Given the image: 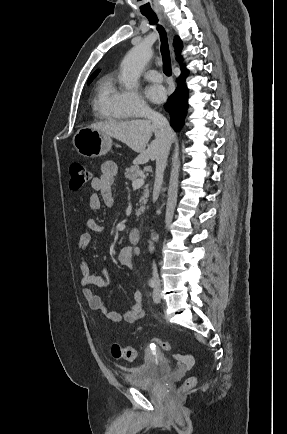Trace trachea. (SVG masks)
Returning <instances> with one entry per match:
<instances>
[{
	"label": "trachea",
	"instance_id": "1",
	"mask_svg": "<svg viewBox=\"0 0 287 434\" xmlns=\"http://www.w3.org/2000/svg\"><path fill=\"white\" fill-rule=\"evenodd\" d=\"M149 20L151 25H157L158 19L156 14H144ZM157 30L160 34L161 40V54L163 59V72L166 76L172 75L171 62H170V51L168 46L167 34L164 28L160 25H157Z\"/></svg>",
	"mask_w": 287,
	"mask_h": 434
}]
</instances>
